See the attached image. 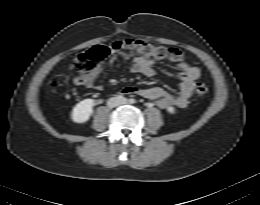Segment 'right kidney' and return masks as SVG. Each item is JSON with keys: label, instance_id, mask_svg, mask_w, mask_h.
<instances>
[{"label": "right kidney", "instance_id": "ca27d5eb", "mask_svg": "<svg viewBox=\"0 0 260 205\" xmlns=\"http://www.w3.org/2000/svg\"><path fill=\"white\" fill-rule=\"evenodd\" d=\"M94 100L84 99L77 103L71 112V119L75 123H85L93 113Z\"/></svg>", "mask_w": 260, "mask_h": 205}]
</instances>
